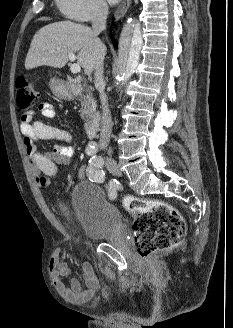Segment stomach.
<instances>
[{
    "mask_svg": "<svg viewBox=\"0 0 233 328\" xmlns=\"http://www.w3.org/2000/svg\"><path fill=\"white\" fill-rule=\"evenodd\" d=\"M52 91L54 95L63 99H72L73 97L72 93L62 85L53 84Z\"/></svg>",
    "mask_w": 233,
    "mask_h": 328,
    "instance_id": "1",
    "label": "stomach"
}]
</instances>
